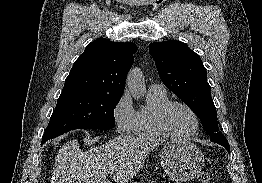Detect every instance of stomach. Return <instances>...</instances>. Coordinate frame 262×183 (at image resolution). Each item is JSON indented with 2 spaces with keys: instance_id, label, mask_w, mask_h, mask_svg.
<instances>
[{
  "instance_id": "0dacf381",
  "label": "stomach",
  "mask_w": 262,
  "mask_h": 183,
  "mask_svg": "<svg viewBox=\"0 0 262 183\" xmlns=\"http://www.w3.org/2000/svg\"><path fill=\"white\" fill-rule=\"evenodd\" d=\"M160 162L166 174L175 181H189L201 172L202 152L185 139L167 141L160 151Z\"/></svg>"
}]
</instances>
